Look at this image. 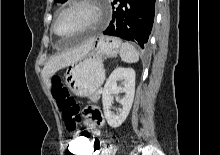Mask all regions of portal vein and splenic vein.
Here are the masks:
<instances>
[{
    "label": "portal vein and splenic vein",
    "mask_w": 220,
    "mask_h": 155,
    "mask_svg": "<svg viewBox=\"0 0 220 155\" xmlns=\"http://www.w3.org/2000/svg\"><path fill=\"white\" fill-rule=\"evenodd\" d=\"M98 93H99V94H101V93H102V90H101V89H99V90H98Z\"/></svg>",
    "instance_id": "18ae733b"
}]
</instances>
